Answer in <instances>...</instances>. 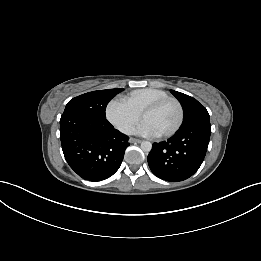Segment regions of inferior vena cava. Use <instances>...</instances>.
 <instances>
[{
	"mask_svg": "<svg viewBox=\"0 0 261 261\" xmlns=\"http://www.w3.org/2000/svg\"><path fill=\"white\" fill-rule=\"evenodd\" d=\"M122 131L127 135H133L135 133V129L131 126L125 127Z\"/></svg>",
	"mask_w": 261,
	"mask_h": 261,
	"instance_id": "1",
	"label": "inferior vena cava"
}]
</instances>
